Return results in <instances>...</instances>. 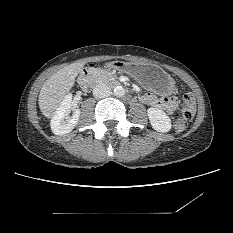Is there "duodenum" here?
<instances>
[{"label": "duodenum", "instance_id": "obj_1", "mask_svg": "<svg viewBox=\"0 0 233 233\" xmlns=\"http://www.w3.org/2000/svg\"><path fill=\"white\" fill-rule=\"evenodd\" d=\"M108 66L112 67L113 64L109 63ZM92 72H93V68H89V69L84 70L80 76V79H79L80 84L85 89H90L93 85Z\"/></svg>", "mask_w": 233, "mask_h": 233}]
</instances>
